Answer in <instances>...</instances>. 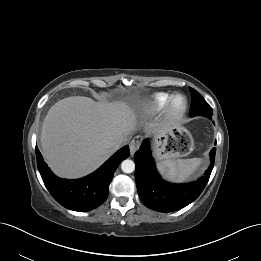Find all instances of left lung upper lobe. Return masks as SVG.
Returning <instances> with one entry per match:
<instances>
[{"label":"left lung upper lobe","mask_w":261,"mask_h":261,"mask_svg":"<svg viewBox=\"0 0 261 261\" xmlns=\"http://www.w3.org/2000/svg\"><path fill=\"white\" fill-rule=\"evenodd\" d=\"M191 92V108L189 115L193 116H206L212 118L213 111L210 105L204 100V98L193 88L190 87Z\"/></svg>","instance_id":"obj_1"}]
</instances>
